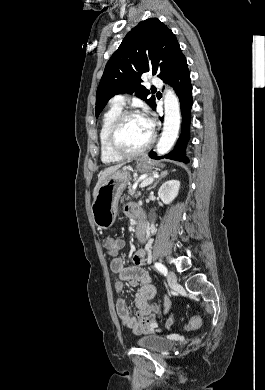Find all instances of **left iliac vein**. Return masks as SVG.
<instances>
[{
  "mask_svg": "<svg viewBox=\"0 0 265 390\" xmlns=\"http://www.w3.org/2000/svg\"><path fill=\"white\" fill-rule=\"evenodd\" d=\"M167 280L170 284H176L177 283V277H176V274L175 272L173 271H169L168 272V275H167Z\"/></svg>",
  "mask_w": 265,
  "mask_h": 390,
  "instance_id": "obj_1",
  "label": "left iliac vein"
}]
</instances>
